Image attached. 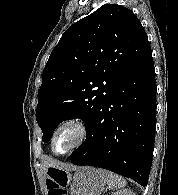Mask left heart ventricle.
<instances>
[{
  "mask_svg": "<svg viewBox=\"0 0 178 195\" xmlns=\"http://www.w3.org/2000/svg\"><path fill=\"white\" fill-rule=\"evenodd\" d=\"M78 138V133L73 128H65L61 130L55 139L54 150L63 152L70 148Z\"/></svg>",
  "mask_w": 178,
  "mask_h": 195,
  "instance_id": "b2bd125f",
  "label": "left heart ventricle"
}]
</instances>
